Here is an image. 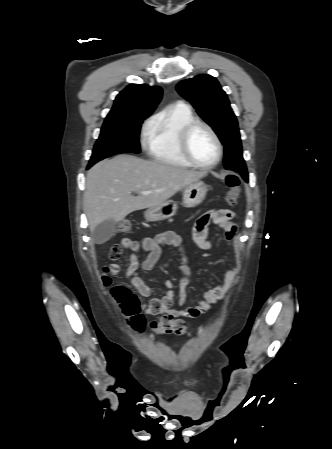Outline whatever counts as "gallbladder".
<instances>
[{
	"mask_svg": "<svg viewBox=\"0 0 332 449\" xmlns=\"http://www.w3.org/2000/svg\"><path fill=\"white\" fill-rule=\"evenodd\" d=\"M116 223L112 220L100 223L92 232V238L95 243L102 244L108 241L115 232Z\"/></svg>",
	"mask_w": 332,
	"mask_h": 449,
	"instance_id": "gallbladder-1",
	"label": "gallbladder"
}]
</instances>
